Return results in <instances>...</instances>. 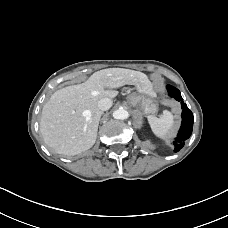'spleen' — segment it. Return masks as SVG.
I'll list each match as a JSON object with an SVG mask.
<instances>
[{"instance_id": "3e777b00", "label": "spleen", "mask_w": 228, "mask_h": 228, "mask_svg": "<svg viewBox=\"0 0 228 228\" xmlns=\"http://www.w3.org/2000/svg\"><path fill=\"white\" fill-rule=\"evenodd\" d=\"M153 133L160 137L166 138L170 135L174 126V116L170 112L163 113L160 117H147Z\"/></svg>"}]
</instances>
